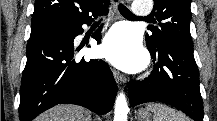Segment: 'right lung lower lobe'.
Returning a JSON list of instances; mask_svg holds the SVG:
<instances>
[{"label":"right lung lower lobe","instance_id":"1","mask_svg":"<svg viewBox=\"0 0 217 121\" xmlns=\"http://www.w3.org/2000/svg\"><path fill=\"white\" fill-rule=\"evenodd\" d=\"M108 7V4L105 6ZM94 15L97 17L107 9ZM92 17L71 27L29 38L27 63L20 88V121H31L57 104H77L100 115L112 109L117 86L102 60H75L74 38L83 33ZM101 27L93 34L99 43Z\"/></svg>","mask_w":217,"mask_h":121}]
</instances>
